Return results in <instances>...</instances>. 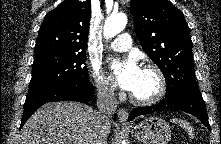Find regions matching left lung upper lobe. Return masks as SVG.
<instances>
[{"instance_id":"5c2ea615","label":"left lung upper lobe","mask_w":221,"mask_h":144,"mask_svg":"<svg viewBox=\"0 0 221 144\" xmlns=\"http://www.w3.org/2000/svg\"><path fill=\"white\" fill-rule=\"evenodd\" d=\"M139 42L164 74L165 97L202 98L195 78L192 41L184 14L168 0H131Z\"/></svg>"}]
</instances>
